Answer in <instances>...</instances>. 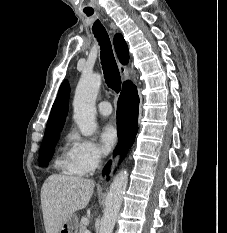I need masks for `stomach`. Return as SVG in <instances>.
I'll return each instance as SVG.
<instances>
[{"label":"stomach","mask_w":227,"mask_h":233,"mask_svg":"<svg viewBox=\"0 0 227 233\" xmlns=\"http://www.w3.org/2000/svg\"><path fill=\"white\" fill-rule=\"evenodd\" d=\"M78 227V218L75 214H72L63 222L59 233H77Z\"/></svg>","instance_id":"stomach-1"}]
</instances>
